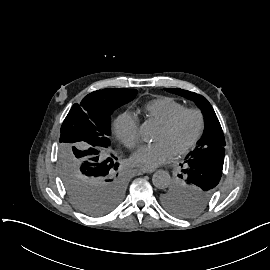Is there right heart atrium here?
<instances>
[{
    "mask_svg": "<svg viewBox=\"0 0 270 270\" xmlns=\"http://www.w3.org/2000/svg\"><path fill=\"white\" fill-rule=\"evenodd\" d=\"M114 133L121 143L130 150L136 148L140 143L139 123L131 113L125 112L116 119Z\"/></svg>",
    "mask_w": 270,
    "mask_h": 270,
    "instance_id": "d8ad5b80",
    "label": "right heart atrium"
}]
</instances>
